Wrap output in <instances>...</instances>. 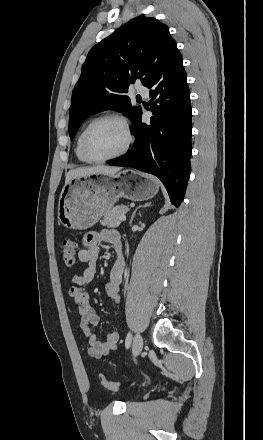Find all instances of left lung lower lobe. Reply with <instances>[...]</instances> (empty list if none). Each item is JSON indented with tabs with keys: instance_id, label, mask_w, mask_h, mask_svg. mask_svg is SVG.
<instances>
[{
	"instance_id": "0a47b994",
	"label": "left lung lower lobe",
	"mask_w": 263,
	"mask_h": 440,
	"mask_svg": "<svg viewBox=\"0 0 263 440\" xmlns=\"http://www.w3.org/2000/svg\"><path fill=\"white\" fill-rule=\"evenodd\" d=\"M146 87L151 88V122L144 123L141 112L133 121L136 140L132 148L107 164L155 175L166 187L171 202L179 207L190 176L192 113L178 50Z\"/></svg>"
}]
</instances>
